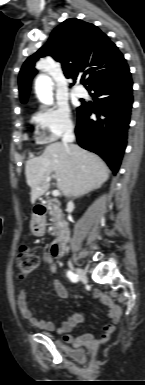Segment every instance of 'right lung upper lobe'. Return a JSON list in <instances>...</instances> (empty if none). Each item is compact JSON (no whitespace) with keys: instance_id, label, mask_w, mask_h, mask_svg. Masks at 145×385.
Segmentation results:
<instances>
[{"instance_id":"cb5924a9","label":"right lung upper lobe","mask_w":145,"mask_h":385,"mask_svg":"<svg viewBox=\"0 0 145 385\" xmlns=\"http://www.w3.org/2000/svg\"><path fill=\"white\" fill-rule=\"evenodd\" d=\"M46 55L62 64L67 78H80L87 88L127 65L116 45L97 26L75 18L68 19L23 64L19 74V92L23 103L27 101L30 82L36 74L35 62Z\"/></svg>"}]
</instances>
